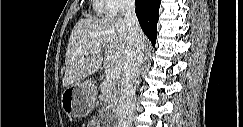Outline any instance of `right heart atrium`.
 Returning <instances> with one entry per match:
<instances>
[{"instance_id":"1","label":"right heart atrium","mask_w":243,"mask_h":127,"mask_svg":"<svg viewBox=\"0 0 243 127\" xmlns=\"http://www.w3.org/2000/svg\"><path fill=\"white\" fill-rule=\"evenodd\" d=\"M110 15H122L133 6L132 0H107Z\"/></svg>"}]
</instances>
